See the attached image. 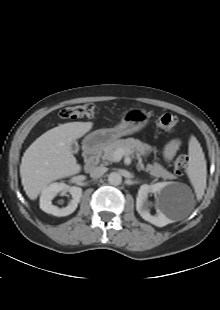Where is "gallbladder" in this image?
<instances>
[{
	"label": "gallbladder",
	"instance_id": "obj_1",
	"mask_svg": "<svg viewBox=\"0 0 220 310\" xmlns=\"http://www.w3.org/2000/svg\"><path fill=\"white\" fill-rule=\"evenodd\" d=\"M72 153L76 154L79 151V145L76 141H73L71 144Z\"/></svg>",
	"mask_w": 220,
	"mask_h": 310
}]
</instances>
